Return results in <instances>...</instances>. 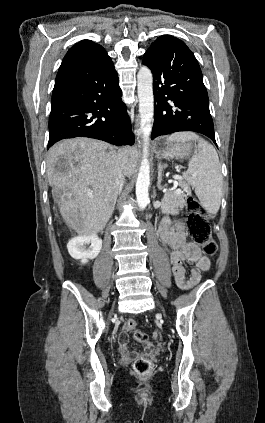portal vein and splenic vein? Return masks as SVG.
Wrapping results in <instances>:
<instances>
[{
    "label": "portal vein and splenic vein",
    "instance_id": "1",
    "mask_svg": "<svg viewBox=\"0 0 265 423\" xmlns=\"http://www.w3.org/2000/svg\"><path fill=\"white\" fill-rule=\"evenodd\" d=\"M176 191H177V193H181V190L180 189H177Z\"/></svg>",
    "mask_w": 265,
    "mask_h": 423
}]
</instances>
